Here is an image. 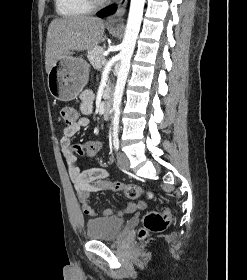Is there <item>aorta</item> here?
Masks as SVG:
<instances>
[{
	"label": "aorta",
	"mask_w": 247,
	"mask_h": 280,
	"mask_svg": "<svg viewBox=\"0 0 247 280\" xmlns=\"http://www.w3.org/2000/svg\"><path fill=\"white\" fill-rule=\"evenodd\" d=\"M145 0H131L127 26L124 39L120 51V68L117 76V83L113 96V134L118 133L120 105L122 101L123 91L130 69V61L135 48L137 36L140 30L141 20L143 16Z\"/></svg>",
	"instance_id": "1"
}]
</instances>
